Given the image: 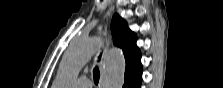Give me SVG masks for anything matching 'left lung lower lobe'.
Listing matches in <instances>:
<instances>
[{"label":"left lung lower lobe","mask_w":223,"mask_h":88,"mask_svg":"<svg viewBox=\"0 0 223 88\" xmlns=\"http://www.w3.org/2000/svg\"><path fill=\"white\" fill-rule=\"evenodd\" d=\"M142 81V66L126 67L123 88H139Z\"/></svg>","instance_id":"obj_1"}]
</instances>
